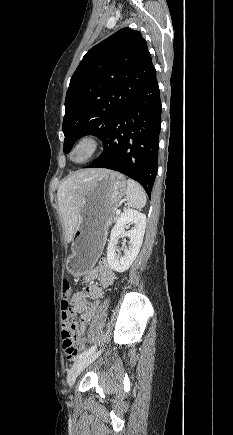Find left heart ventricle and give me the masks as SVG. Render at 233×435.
Listing matches in <instances>:
<instances>
[{
    "label": "left heart ventricle",
    "instance_id": "1",
    "mask_svg": "<svg viewBox=\"0 0 233 435\" xmlns=\"http://www.w3.org/2000/svg\"><path fill=\"white\" fill-rule=\"evenodd\" d=\"M83 156H84V152L80 151V152H77L74 157H75L76 160H79Z\"/></svg>",
    "mask_w": 233,
    "mask_h": 435
}]
</instances>
